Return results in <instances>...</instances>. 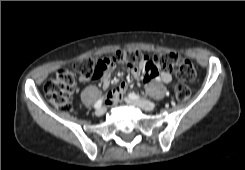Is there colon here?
I'll list each match as a JSON object with an SVG mask.
<instances>
[{"label":"colon","instance_id":"1","mask_svg":"<svg viewBox=\"0 0 245 170\" xmlns=\"http://www.w3.org/2000/svg\"><path fill=\"white\" fill-rule=\"evenodd\" d=\"M116 63H124L128 67L144 66L151 71L159 63L172 70L176 79L180 81L177 86V93L184 96L188 93L186 82L194 78L195 71L190 62L184 58H179L175 54H168L159 59L141 52L124 51L116 56L107 57L100 60L86 59L78 64L77 71L84 78L97 79L104 72L111 69ZM77 77L70 72H59L46 81L44 92L47 99L60 109H68L71 104V96L76 86Z\"/></svg>","mask_w":245,"mask_h":170}]
</instances>
